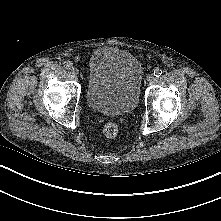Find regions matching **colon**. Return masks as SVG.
<instances>
[{"instance_id":"1","label":"colon","mask_w":221,"mask_h":221,"mask_svg":"<svg viewBox=\"0 0 221 221\" xmlns=\"http://www.w3.org/2000/svg\"><path fill=\"white\" fill-rule=\"evenodd\" d=\"M119 127L115 122H107L103 127V134L106 138L112 139L118 135Z\"/></svg>"}]
</instances>
